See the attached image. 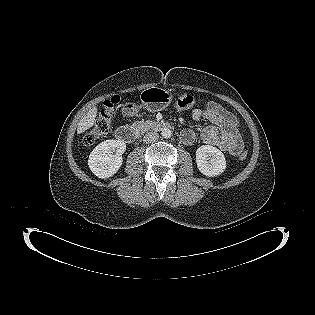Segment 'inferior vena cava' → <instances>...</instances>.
I'll list each match as a JSON object with an SVG mask.
<instances>
[{
  "instance_id": "602c4592",
  "label": "inferior vena cava",
  "mask_w": 315,
  "mask_h": 315,
  "mask_svg": "<svg viewBox=\"0 0 315 315\" xmlns=\"http://www.w3.org/2000/svg\"><path fill=\"white\" fill-rule=\"evenodd\" d=\"M159 138V134L156 132H149L147 133L144 138L143 141L145 143H151V142H155L156 140H158Z\"/></svg>"
}]
</instances>
